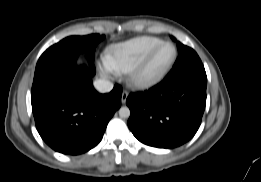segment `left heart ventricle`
Here are the masks:
<instances>
[{
	"label": "left heart ventricle",
	"mask_w": 261,
	"mask_h": 182,
	"mask_svg": "<svg viewBox=\"0 0 261 182\" xmlns=\"http://www.w3.org/2000/svg\"><path fill=\"white\" fill-rule=\"evenodd\" d=\"M172 57L173 48L171 46L162 47L149 63L146 69V74L151 75L159 72L170 62Z\"/></svg>",
	"instance_id": "b2bd125f"
}]
</instances>
